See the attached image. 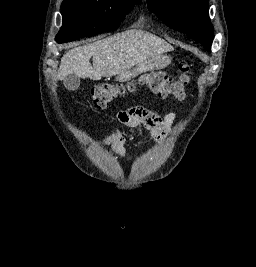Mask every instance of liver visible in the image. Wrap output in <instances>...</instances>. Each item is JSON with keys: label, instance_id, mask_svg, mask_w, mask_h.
<instances>
[{"label": "liver", "instance_id": "1", "mask_svg": "<svg viewBox=\"0 0 256 267\" xmlns=\"http://www.w3.org/2000/svg\"><path fill=\"white\" fill-rule=\"evenodd\" d=\"M173 50L165 40L149 32L127 30L111 38L78 46L66 52L61 58L57 80H64L69 74L90 80L111 76L122 78L128 68L145 64L147 60H153L155 56ZM90 58L93 60V66L90 64Z\"/></svg>", "mask_w": 256, "mask_h": 267}]
</instances>
